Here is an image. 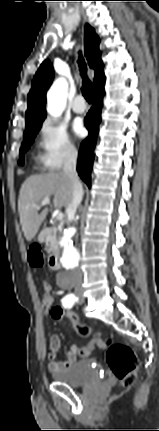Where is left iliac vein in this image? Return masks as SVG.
Instances as JSON below:
<instances>
[{
	"instance_id": "4c4485c4",
	"label": "left iliac vein",
	"mask_w": 159,
	"mask_h": 431,
	"mask_svg": "<svg viewBox=\"0 0 159 431\" xmlns=\"http://www.w3.org/2000/svg\"><path fill=\"white\" fill-rule=\"evenodd\" d=\"M84 302V299L83 298H80V300H79V304H82Z\"/></svg>"
}]
</instances>
